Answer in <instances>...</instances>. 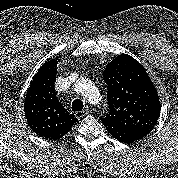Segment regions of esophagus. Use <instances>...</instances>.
<instances>
[{
	"label": "esophagus",
	"instance_id": "1",
	"mask_svg": "<svg viewBox=\"0 0 178 178\" xmlns=\"http://www.w3.org/2000/svg\"><path fill=\"white\" fill-rule=\"evenodd\" d=\"M89 113V110L88 109H84V110H82V111H77L76 113H75V116L77 117V118H82V117H84L85 115H87Z\"/></svg>",
	"mask_w": 178,
	"mask_h": 178
}]
</instances>
